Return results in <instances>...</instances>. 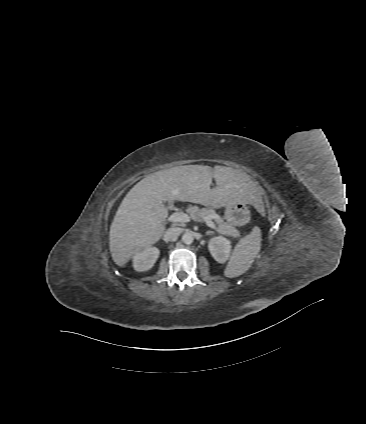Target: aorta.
Returning <instances> with one entry per match:
<instances>
[{"label":"aorta","instance_id":"762f6f07","mask_svg":"<svg viewBox=\"0 0 366 424\" xmlns=\"http://www.w3.org/2000/svg\"><path fill=\"white\" fill-rule=\"evenodd\" d=\"M182 241L183 243H185L186 245H190L193 243L194 241V236L192 232H185L182 236Z\"/></svg>","mask_w":366,"mask_h":424}]
</instances>
